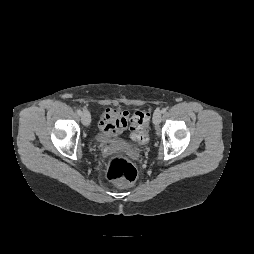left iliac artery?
<instances>
[{"instance_id": "left-iliac-artery-1", "label": "left iliac artery", "mask_w": 254, "mask_h": 254, "mask_svg": "<svg viewBox=\"0 0 254 254\" xmlns=\"http://www.w3.org/2000/svg\"><path fill=\"white\" fill-rule=\"evenodd\" d=\"M166 111H167L166 108H163V109L161 110L162 113H165Z\"/></svg>"}]
</instances>
